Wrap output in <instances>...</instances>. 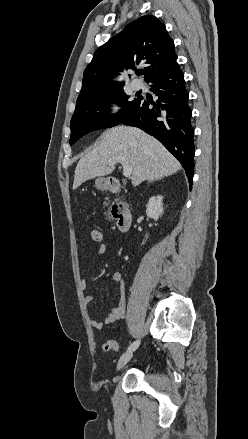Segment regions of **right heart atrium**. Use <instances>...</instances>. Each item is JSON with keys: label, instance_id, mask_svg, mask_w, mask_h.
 <instances>
[{"label": "right heart atrium", "instance_id": "right-heart-atrium-1", "mask_svg": "<svg viewBox=\"0 0 248 439\" xmlns=\"http://www.w3.org/2000/svg\"><path fill=\"white\" fill-rule=\"evenodd\" d=\"M121 114V107L117 101L108 102L102 109L101 116L106 121H114Z\"/></svg>", "mask_w": 248, "mask_h": 439}]
</instances>
